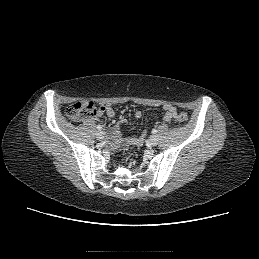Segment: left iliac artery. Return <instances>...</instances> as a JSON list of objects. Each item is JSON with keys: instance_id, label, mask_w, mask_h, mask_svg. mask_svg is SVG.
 Segmentation results:
<instances>
[{"instance_id": "left-iliac-artery-1", "label": "left iliac artery", "mask_w": 259, "mask_h": 259, "mask_svg": "<svg viewBox=\"0 0 259 259\" xmlns=\"http://www.w3.org/2000/svg\"><path fill=\"white\" fill-rule=\"evenodd\" d=\"M152 133H153V134H156V133H157V130H156V129H153V130H152Z\"/></svg>"}]
</instances>
